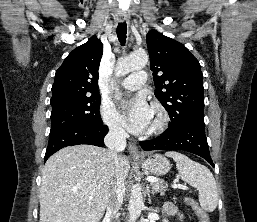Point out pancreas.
I'll return each instance as SVG.
<instances>
[{
    "label": "pancreas",
    "mask_w": 257,
    "mask_h": 222,
    "mask_svg": "<svg viewBox=\"0 0 257 222\" xmlns=\"http://www.w3.org/2000/svg\"><path fill=\"white\" fill-rule=\"evenodd\" d=\"M151 186L154 193L160 192L163 195L166 191V187L162 184V181L151 183Z\"/></svg>",
    "instance_id": "pancreas-1"
}]
</instances>
